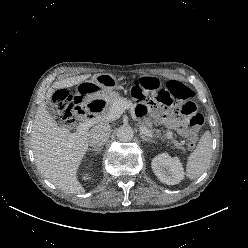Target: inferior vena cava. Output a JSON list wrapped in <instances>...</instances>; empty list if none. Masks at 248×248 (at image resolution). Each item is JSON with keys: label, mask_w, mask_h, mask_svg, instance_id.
Listing matches in <instances>:
<instances>
[{"label": "inferior vena cava", "mask_w": 248, "mask_h": 248, "mask_svg": "<svg viewBox=\"0 0 248 248\" xmlns=\"http://www.w3.org/2000/svg\"><path fill=\"white\" fill-rule=\"evenodd\" d=\"M111 133L109 124L100 123L89 131L88 143L94 148L103 146Z\"/></svg>", "instance_id": "1"}]
</instances>
